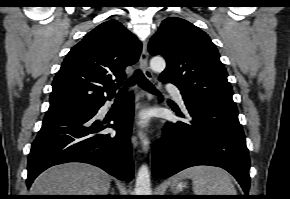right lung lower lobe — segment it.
<instances>
[{
    "instance_id": "obj_1",
    "label": "right lung lower lobe",
    "mask_w": 290,
    "mask_h": 199,
    "mask_svg": "<svg viewBox=\"0 0 290 199\" xmlns=\"http://www.w3.org/2000/svg\"><path fill=\"white\" fill-rule=\"evenodd\" d=\"M102 105L83 114L44 119L29 153L28 188L41 172L65 162L89 163L120 180H132L133 96L112 118L113 124L95 118ZM107 127L114 128L116 133H101Z\"/></svg>"
}]
</instances>
